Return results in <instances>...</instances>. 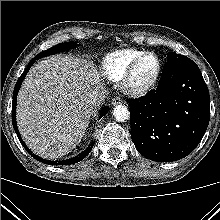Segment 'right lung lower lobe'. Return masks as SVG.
Listing matches in <instances>:
<instances>
[{
  "label": "right lung lower lobe",
  "mask_w": 220,
  "mask_h": 220,
  "mask_svg": "<svg viewBox=\"0 0 220 220\" xmlns=\"http://www.w3.org/2000/svg\"><path fill=\"white\" fill-rule=\"evenodd\" d=\"M34 60L36 59H32L29 63H28V66L27 68L25 69V71L22 73V75L19 77V79L17 80V83L15 85V88H14V92H13V103H12V123H13V127H14V130L20 140V142L22 143L23 147L26 149V151L32 156L34 157L36 160L40 161V162H43V163H46V164H51V165H69V164H75L79 161H81L82 159H84L92 150V147H93V142L91 143V145L81 154H79L78 156L74 157V158H71V159H68V160H63V161H49V160H45V159H42L40 157H38L37 155L33 154L29 149L28 147L25 145V143L23 142L21 136H20V133L18 131V128H17V123H16V102H17V94H18V91H19V88L22 84V81L23 79L25 78L27 72L29 71L31 65L34 63ZM108 112V107L105 106L102 108L101 110V113H100V117H103L105 114H107Z\"/></svg>",
  "instance_id": "obj_1"
}]
</instances>
